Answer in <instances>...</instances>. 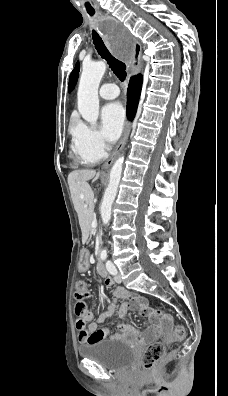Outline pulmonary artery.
<instances>
[{"label":"pulmonary artery","instance_id":"obj_1","mask_svg":"<svg viewBox=\"0 0 228 396\" xmlns=\"http://www.w3.org/2000/svg\"><path fill=\"white\" fill-rule=\"evenodd\" d=\"M119 93L120 91L117 85L112 83L103 84L99 90L100 97L106 100H111L118 97Z\"/></svg>","mask_w":228,"mask_h":396}]
</instances>
